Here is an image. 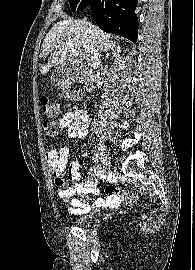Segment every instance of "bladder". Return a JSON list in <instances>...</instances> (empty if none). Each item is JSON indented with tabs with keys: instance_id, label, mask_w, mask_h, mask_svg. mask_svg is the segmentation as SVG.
<instances>
[{
	"instance_id": "31cf9c89",
	"label": "bladder",
	"mask_w": 195,
	"mask_h": 270,
	"mask_svg": "<svg viewBox=\"0 0 195 270\" xmlns=\"http://www.w3.org/2000/svg\"><path fill=\"white\" fill-rule=\"evenodd\" d=\"M94 218L95 216L93 213H87V214L77 217L74 220V223L78 226L86 227L92 224V222L94 221Z\"/></svg>"
}]
</instances>
